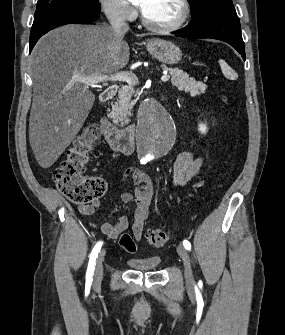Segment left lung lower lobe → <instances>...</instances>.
<instances>
[{
	"mask_svg": "<svg viewBox=\"0 0 285 335\" xmlns=\"http://www.w3.org/2000/svg\"><path fill=\"white\" fill-rule=\"evenodd\" d=\"M176 36L184 38H212L233 46L245 60L241 27L234 6H210L192 17L185 29Z\"/></svg>",
	"mask_w": 285,
	"mask_h": 335,
	"instance_id": "left-lung-lower-lobe-1",
	"label": "left lung lower lobe"
}]
</instances>
